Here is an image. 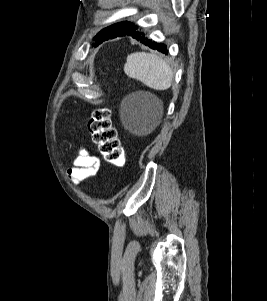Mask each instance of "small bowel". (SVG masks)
Segmentation results:
<instances>
[{"mask_svg":"<svg viewBox=\"0 0 267 301\" xmlns=\"http://www.w3.org/2000/svg\"><path fill=\"white\" fill-rule=\"evenodd\" d=\"M100 166V159L96 155L92 154L88 149L80 147L72 167L68 170V176L75 184H80L86 179L95 176Z\"/></svg>","mask_w":267,"mask_h":301,"instance_id":"obj_1","label":"small bowel"}]
</instances>
